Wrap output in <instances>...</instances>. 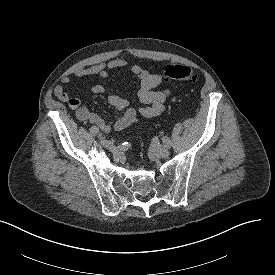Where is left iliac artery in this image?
Returning a JSON list of instances; mask_svg holds the SVG:
<instances>
[{
	"instance_id": "44dca946",
	"label": "left iliac artery",
	"mask_w": 275,
	"mask_h": 275,
	"mask_svg": "<svg viewBox=\"0 0 275 275\" xmlns=\"http://www.w3.org/2000/svg\"><path fill=\"white\" fill-rule=\"evenodd\" d=\"M163 144L167 147V148H170L171 147V141L168 137H163Z\"/></svg>"
}]
</instances>
